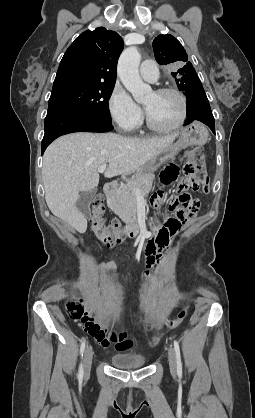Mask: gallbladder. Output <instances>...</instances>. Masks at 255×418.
<instances>
[{"label": "gallbladder", "mask_w": 255, "mask_h": 418, "mask_svg": "<svg viewBox=\"0 0 255 418\" xmlns=\"http://www.w3.org/2000/svg\"><path fill=\"white\" fill-rule=\"evenodd\" d=\"M97 189H93L90 191L81 192L80 196L76 202V206L78 210L85 216L88 217L90 215V203L92 202Z\"/></svg>", "instance_id": "bac80fb5"}]
</instances>
